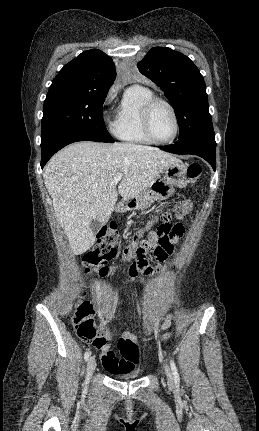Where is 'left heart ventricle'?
<instances>
[{
	"label": "left heart ventricle",
	"instance_id": "b2bd125f",
	"mask_svg": "<svg viewBox=\"0 0 259 431\" xmlns=\"http://www.w3.org/2000/svg\"><path fill=\"white\" fill-rule=\"evenodd\" d=\"M152 132L154 136L161 141L168 140L172 137L175 125L173 116L167 106L158 104L152 113L151 118Z\"/></svg>",
	"mask_w": 259,
	"mask_h": 431
}]
</instances>
